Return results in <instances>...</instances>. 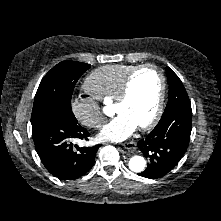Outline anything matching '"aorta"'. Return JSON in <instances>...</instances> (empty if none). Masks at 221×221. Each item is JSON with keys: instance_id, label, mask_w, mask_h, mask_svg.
I'll list each match as a JSON object with an SVG mask.
<instances>
[{"instance_id": "aorta-1", "label": "aorta", "mask_w": 221, "mask_h": 221, "mask_svg": "<svg viewBox=\"0 0 221 221\" xmlns=\"http://www.w3.org/2000/svg\"><path fill=\"white\" fill-rule=\"evenodd\" d=\"M128 165L131 171L142 172L145 169L146 161L142 156H133Z\"/></svg>"}]
</instances>
